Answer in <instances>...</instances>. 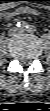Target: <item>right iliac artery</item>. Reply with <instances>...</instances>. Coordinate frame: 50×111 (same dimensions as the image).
<instances>
[{
	"instance_id": "1",
	"label": "right iliac artery",
	"mask_w": 50,
	"mask_h": 111,
	"mask_svg": "<svg viewBox=\"0 0 50 111\" xmlns=\"http://www.w3.org/2000/svg\"><path fill=\"white\" fill-rule=\"evenodd\" d=\"M16 26L23 30L28 28V24L24 21L18 22Z\"/></svg>"
}]
</instances>
